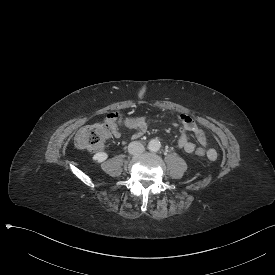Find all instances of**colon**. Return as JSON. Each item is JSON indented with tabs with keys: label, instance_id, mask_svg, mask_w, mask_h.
<instances>
[{
	"label": "colon",
	"instance_id": "5ec220e1",
	"mask_svg": "<svg viewBox=\"0 0 275 275\" xmlns=\"http://www.w3.org/2000/svg\"><path fill=\"white\" fill-rule=\"evenodd\" d=\"M143 118L138 116L136 118H126V125H140L143 123ZM117 115L114 112H109L104 119V122H98L81 129L76 135V145L80 149L86 150H100L109 139L112 131L116 128ZM197 156H204L206 150L199 147L195 151Z\"/></svg>",
	"mask_w": 275,
	"mask_h": 275
}]
</instances>
